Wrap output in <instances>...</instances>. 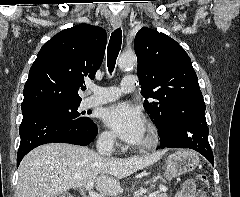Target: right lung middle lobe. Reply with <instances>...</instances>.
<instances>
[{
	"instance_id": "right-lung-middle-lobe-1",
	"label": "right lung middle lobe",
	"mask_w": 240,
	"mask_h": 197,
	"mask_svg": "<svg viewBox=\"0 0 240 197\" xmlns=\"http://www.w3.org/2000/svg\"><path fill=\"white\" fill-rule=\"evenodd\" d=\"M80 101L76 102H49L26 110L48 111L54 113L77 127L85 128L93 123L88 117H84L83 113L78 112Z\"/></svg>"
}]
</instances>
